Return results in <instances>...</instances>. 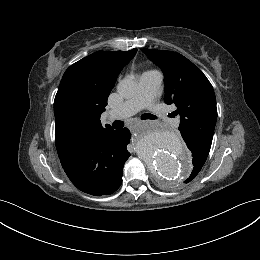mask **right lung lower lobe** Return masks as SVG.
Instances as JSON below:
<instances>
[{
  "label": "right lung lower lobe",
  "instance_id": "98d812e1",
  "mask_svg": "<svg viewBox=\"0 0 260 260\" xmlns=\"http://www.w3.org/2000/svg\"><path fill=\"white\" fill-rule=\"evenodd\" d=\"M130 138L127 128L112 129L86 139L60 162L79 190L94 196L112 194L122 183L123 166L130 156L126 148Z\"/></svg>",
  "mask_w": 260,
  "mask_h": 260
}]
</instances>
